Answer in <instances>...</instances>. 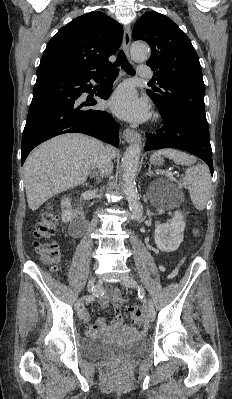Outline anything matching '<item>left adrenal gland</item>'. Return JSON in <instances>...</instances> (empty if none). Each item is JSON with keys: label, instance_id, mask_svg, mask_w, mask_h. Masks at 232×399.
Segmentation results:
<instances>
[{"label": "left adrenal gland", "instance_id": "obj_1", "mask_svg": "<svg viewBox=\"0 0 232 399\" xmlns=\"http://www.w3.org/2000/svg\"><path fill=\"white\" fill-rule=\"evenodd\" d=\"M146 176H155V174H153V172H151V166H149V170H148Z\"/></svg>", "mask_w": 232, "mask_h": 399}]
</instances>
